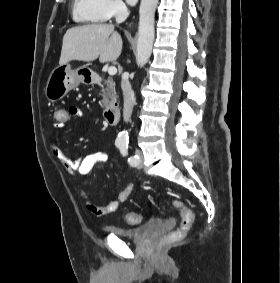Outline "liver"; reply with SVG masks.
Returning <instances> with one entry per match:
<instances>
[{"label":"liver","instance_id":"liver-1","mask_svg":"<svg viewBox=\"0 0 280 283\" xmlns=\"http://www.w3.org/2000/svg\"><path fill=\"white\" fill-rule=\"evenodd\" d=\"M121 35L112 24H89L70 28L63 37L60 65L78 60L116 61L122 52Z\"/></svg>","mask_w":280,"mask_h":283}]
</instances>
